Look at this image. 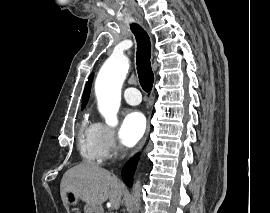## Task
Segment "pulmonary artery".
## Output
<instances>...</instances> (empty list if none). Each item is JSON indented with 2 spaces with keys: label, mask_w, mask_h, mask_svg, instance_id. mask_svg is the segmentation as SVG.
Returning <instances> with one entry per match:
<instances>
[{
  "label": "pulmonary artery",
  "mask_w": 270,
  "mask_h": 213,
  "mask_svg": "<svg viewBox=\"0 0 270 213\" xmlns=\"http://www.w3.org/2000/svg\"><path fill=\"white\" fill-rule=\"evenodd\" d=\"M124 98L131 105H138L141 102V93L136 88H127L124 91Z\"/></svg>",
  "instance_id": "obj_1"
}]
</instances>
